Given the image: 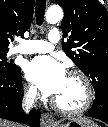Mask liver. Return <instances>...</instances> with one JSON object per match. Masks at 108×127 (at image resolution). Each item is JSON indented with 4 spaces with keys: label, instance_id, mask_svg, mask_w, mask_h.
Wrapping results in <instances>:
<instances>
[{
    "label": "liver",
    "instance_id": "6515ba94",
    "mask_svg": "<svg viewBox=\"0 0 108 127\" xmlns=\"http://www.w3.org/2000/svg\"><path fill=\"white\" fill-rule=\"evenodd\" d=\"M73 120H77V121L88 123V124H94L92 121H90L87 118H76V119H73ZM0 127H21V125L15 124L13 122H9V121H6V120H0Z\"/></svg>",
    "mask_w": 108,
    "mask_h": 127
}]
</instances>
